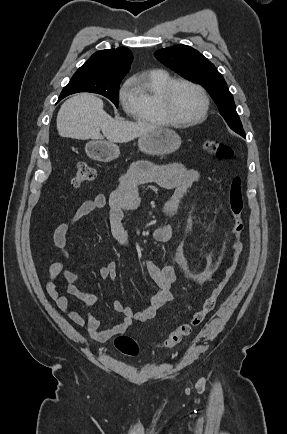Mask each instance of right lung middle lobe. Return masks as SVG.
<instances>
[{
    "mask_svg": "<svg viewBox=\"0 0 287 434\" xmlns=\"http://www.w3.org/2000/svg\"><path fill=\"white\" fill-rule=\"evenodd\" d=\"M121 80L74 74L70 82L63 88L58 101L73 93L92 92L107 97L118 107V93Z\"/></svg>",
    "mask_w": 287,
    "mask_h": 434,
    "instance_id": "1",
    "label": "right lung middle lobe"
}]
</instances>
